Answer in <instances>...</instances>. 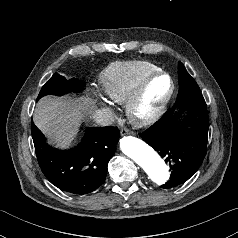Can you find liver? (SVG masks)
<instances>
[{"instance_id": "liver-1", "label": "liver", "mask_w": 238, "mask_h": 238, "mask_svg": "<svg viewBox=\"0 0 238 238\" xmlns=\"http://www.w3.org/2000/svg\"><path fill=\"white\" fill-rule=\"evenodd\" d=\"M89 99L60 100L47 96L40 99L34 111L36 126L60 146H69L77 137L85 112L90 110Z\"/></svg>"}]
</instances>
